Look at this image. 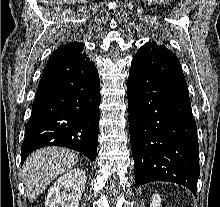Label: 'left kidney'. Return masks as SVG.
I'll return each mask as SVG.
<instances>
[{"label":"left kidney","mask_w":220,"mask_h":207,"mask_svg":"<svg viewBox=\"0 0 220 207\" xmlns=\"http://www.w3.org/2000/svg\"><path fill=\"white\" fill-rule=\"evenodd\" d=\"M150 207H161V198L159 194L156 193L153 195Z\"/></svg>","instance_id":"left-kidney-1"}]
</instances>
